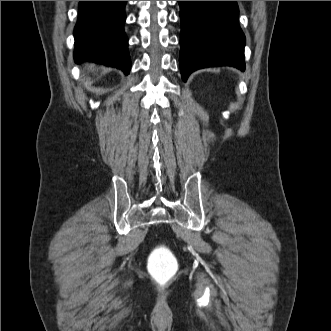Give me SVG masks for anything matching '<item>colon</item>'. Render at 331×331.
I'll list each match as a JSON object with an SVG mask.
<instances>
[{
    "instance_id": "5ec220e1",
    "label": "colon",
    "mask_w": 331,
    "mask_h": 331,
    "mask_svg": "<svg viewBox=\"0 0 331 331\" xmlns=\"http://www.w3.org/2000/svg\"><path fill=\"white\" fill-rule=\"evenodd\" d=\"M148 269L155 281L163 286L176 276L178 263L168 248L160 246L151 253Z\"/></svg>"
}]
</instances>
